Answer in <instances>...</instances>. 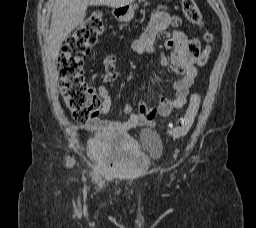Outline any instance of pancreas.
Masks as SVG:
<instances>
[{
    "label": "pancreas",
    "mask_w": 256,
    "mask_h": 228,
    "mask_svg": "<svg viewBox=\"0 0 256 228\" xmlns=\"http://www.w3.org/2000/svg\"><path fill=\"white\" fill-rule=\"evenodd\" d=\"M141 1H145V0H139V2H141ZM136 7H137V4L134 5V8H136Z\"/></svg>",
    "instance_id": "1"
}]
</instances>
